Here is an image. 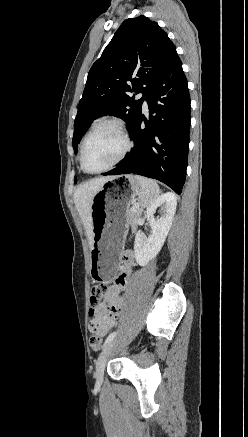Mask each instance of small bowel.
<instances>
[{
	"instance_id": "obj_1",
	"label": "small bowel",
	"mask_w": 248,
	"mask_h": 437,
	"mask_svg": "<svg viewBox=\"0 0 248 437\" xmlns=\"http://www.w3.org/2000/svg\"><path fill=\"white\" fill-rule=\"evenodd\" d=\"M133 259L134 255L131 250L123 252L121 274L117 277L116 282L107 288L103 301L95 307L94 319L97 326L90 328V330L101 337L110 332L121 316L124 306L122 293L129 284Z\"/></svg>"
}]
</instances>
